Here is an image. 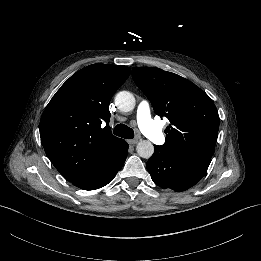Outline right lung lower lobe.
Wrapping results in <instances>:
<instances>
[{
	"label": "right lung lower lobe",
	"instance_id": "98d812e1",
	"mask_svg": "<svg viewBox=\"0 0 261 261\" xmlns=\"http://www.w3.org/2000/svg\"><path fill=\"white\" fill-rule=\"evenodd\" d=\"M128 147L127 142L124 143L101 167L71 181L72 184L84 190H93L105 186L122 168L127 157Z\"/></svg>",
	"mask_w": 261,
	"mask_h": 261
}]
</instances>
